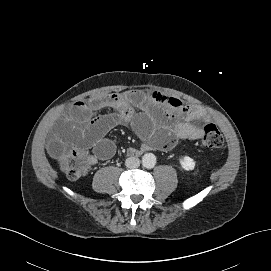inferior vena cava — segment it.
Returning <instances> with one entry per match:
<instances>
[{
    "label": "inferior vena cava",
    "mask_w": 271,
    "mask_h": 271,
    "mask_svg": "<svg viewBox=\"0 0 271 271\" xmlns=\"http://www.w3.org/2000/svg\"><path fill=\"white\" fill-rule=\"evenodd\" d=\"M125 165L130 169L138 168L140 165V160L137 157H129L126 159Z\"/></svg>",
    "instance_id": "obj_1"
}]
</instances>
